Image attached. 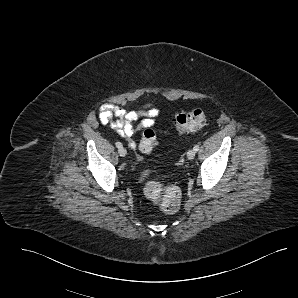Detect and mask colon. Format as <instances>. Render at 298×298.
I'll use <instances>...</instances> for the list:
<instances>
[{
    "mask_svg": "<svg viewBox=\"0 0 298 298\" xmlns=\"http://www.w3.org/2000/svg\"><path fill=\"white\" fill-rule=\"evenodd\" d=\"M208 124L205 113L198 108L179 114L175 119V126L179 133L186 134L197 131ZM158 141L152 129H146L141 137L139 148L143 153H151L157 147ZM147 172L143 178L147 177ZM144 191L148 199L160 210L172 213L178 210L181 202V190L176 185L146 181Z\"/></svg>",
    "mask_w": 298,
    "mask_h": 298,
    "instance_id": "colon-1",
    "label": "colon"
}]
</instances>
